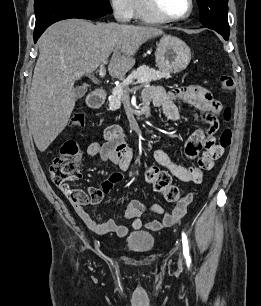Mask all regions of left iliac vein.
Instances as JSON below:
<instances>
[{"instance_id": "1", "label": "left iliac vein", "mask_w": 261, "mask_h": 306, "mask_svg": "<svg viewBox=\"0 0 261 306\" xmlns=\"http://www.w3.org/2000/svg\"><path fill=\"white\" fill-rule=\"evenodd\" d=\"M179 262H180V263H182V262H183V258H182V257H180Z\"/></svg>"}]
</instances>
